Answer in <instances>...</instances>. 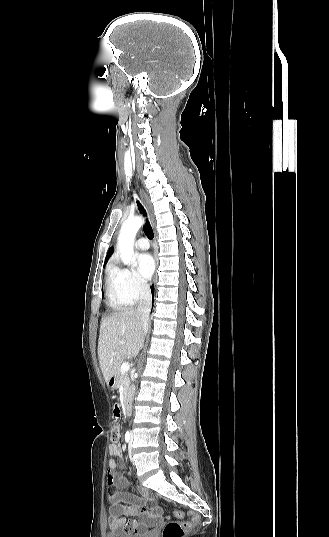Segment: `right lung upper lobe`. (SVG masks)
<instances>
[{
  "label": "right lung upper lobe",
  "instance_id": "cb5924a9",
  "mask_svg": "<svg viewBox=\"0 0 329 537\" xmlns=\"http://www.w3.org/2000/svg\"><path fill=\"white\" fill-rule=\"evenodd\" d=\"M111 253H112V250L109 249V251H108V253H107V256H106V262H107V260L109 259V257L111 256Z\"/></svg>",
  "mask_w": 329,
  "mask_h": 537
}]
</instances>
